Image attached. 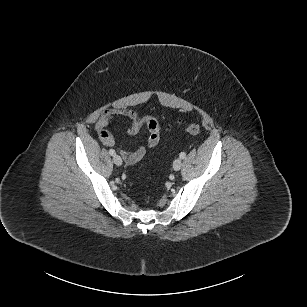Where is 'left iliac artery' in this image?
<instances>
[{"label": "left iliac artery", "instance_id": "obj_1", "mask_svg": "<svg viewBox=\"0 0 307 307\" xmlns=\"http://www.w3.org/2000/svg\"><path fill=\"white\" fill-rule=\"evenodd\" d=\"M179 157H180L181 159H184V158L186 157V153H185V152H181V153L179 154Z\"/></svg>", "mask_w": 307, "mask_h": 307}]
</instances>
